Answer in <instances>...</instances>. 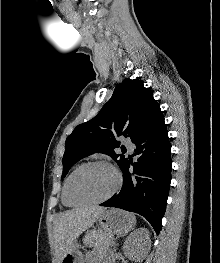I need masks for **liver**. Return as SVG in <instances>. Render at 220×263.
Masks as SVG:
<instances>
[{
    "mask_svg": "<svg viewBox=\"0 0 220 263\" xmlns=\"http://www.w3.org/2000/svg\"><path fill=\"white\" fill-rule=\"evenodd\" d=\"M105 210L104 207L89 206L68 210L58 215L53 227L56 263H61L76 239L90 228Z\"/></svg>",
    "mask_w": 220,
    "mask_h": 263,
    "instance_id": "1",
    "label": "liver"
}]
</instances>
